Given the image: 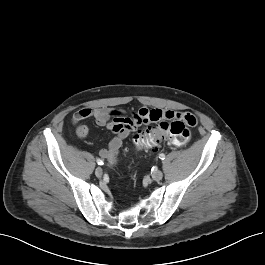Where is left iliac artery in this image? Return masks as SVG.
Wrapping results in <instances>:
<instances>
[{
    "mask_svg": "<svg viewBox=\"0 0 265 265\" xmlns=\"http://www.w3.org/2000/svg\"><path fill=\"white\" fill-rule=\"evenodd\" d=\"M159 158H160L161 160H164V159H165V155H164L163 153H161V154H159Z\"/></svg>",
    "mask_w": 265,
    "mask_h": 265,
    "instance_id": "obj_1",
    "label": "left iliac artery"
}]
</instances>
